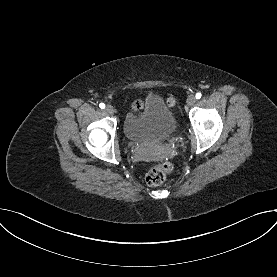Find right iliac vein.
I'll return each instance as SVG.
<instances>
[{
  "instance_id": "63e3f726",
  "label": "right iliac vein",
  "mask_w": 277,
  "mask_h": 277,
  "mask_svg": "<svg viewBox=\"0 0 277 277\" xmlns=\"http://www.w3.org/2000/svg\"><path fill=\"white\" fill-rule=\"evenodd\" d=\"M105 110L109 114H113L115 112L114 107L112 105H107Z\"/></svg>"
}]
</instances>
